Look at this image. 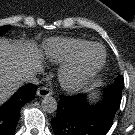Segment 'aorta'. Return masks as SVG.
<instances>
[{
    "label": "aorta",
    "instance_id": "762f6f07",
    "mask_svg": "<svg viewBox=\"0 0 135 135\" xmlns=\"http://www.w3.org/2000/svg\"><path fill=\"white\" fill-rule=\"evenodd\" d=\"M57 101L52 96H45L41 102V107L44 112L53 113L57 110Z\"/></svg>",
    "mask_w": 135,
    "mask_h": 135
}]
</instances>
